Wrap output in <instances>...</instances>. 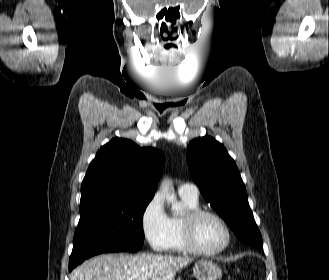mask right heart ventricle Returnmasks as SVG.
<instances>
[{
  "label": "right heart ventricle",
  "instance_id": "1",
  "mask_svg": "<svg viewBox=\"0 0 329 280\" xmlns=\"http://www.w3.org/2000/svg\"><path fill=\"white\" fill-rule=\"evenodd\" d=\"M186 211L198 208V200L180 195ZM182 217L173 215L169 217L171 236L167 250L177 253H185L187 249L182 238Z\"/></svg>",
  "mask_w": 329,
  "mask_h": 280
}]
</instances>
